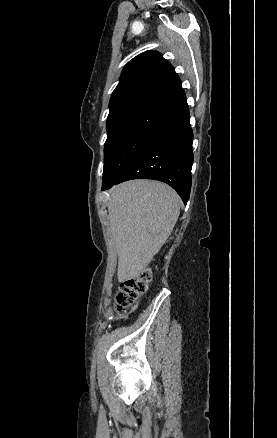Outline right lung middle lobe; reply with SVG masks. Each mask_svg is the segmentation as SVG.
<instances>
[{"label":"right lung middle lobe","mask_w":277,"mask_h":438,"mask_svg":"<svg viewBox=\"0 0 277 438\" xmlns=\"http://www.w3.org/2000/svg\"><path fill=\"white\" fill-rule=\"evenodd\" d=\"M167 111L107 119L108 137L104 147L103 184L116 180L144 146Z\"/></svg>","instance_id":"1"}]
</instances>
